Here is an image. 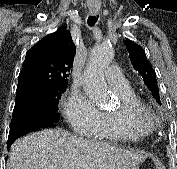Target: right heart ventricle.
<instances>
[{
  "label": "right heart ventricle",
  "mask_w": 177,
  "mask_h": 169,
  "mask_svg": "<svg viewBox=\"0 0 177 169\" xmlns=\"http://www.w3.org/2000/svg\"><path fill=\"white\" fill-rule=\"evenodd\" d=\"M121 105L140 103L136 92L129 87L123 91H114ZM150 132L130 126L124 116L117 110L103 111L94 138L109 141H139Z\"/></svg>",
  "instance_id": "right-heart-ventricle-1"
}]
</instances>
